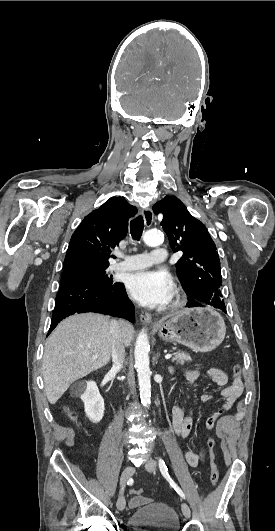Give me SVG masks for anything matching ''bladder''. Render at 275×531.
I'll use <instances>...</instances> for the list:
<instances>
[{
  "mask_svg": "<svg viewBox=\"0 0 275 531\" xmlns=\"http://www.w3.org/2000/svg\"><path fill=\"white\" fill-rule=\"evenodd\" d=\"M129 526L130 531H179L180 522L168 504L154 502L136 510Z\"/></svg>",
  "mask_w": 275,
  "mask_h": 531,
  "instance_id": "1",
  "label": "bladder"
}]
</instances>
